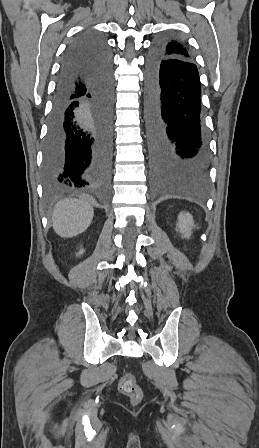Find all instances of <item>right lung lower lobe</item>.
<instances>
[{"mask_svg":"<svg viewBox=\"0 0 259 448\" xmlns=\"http://www.w3.org/2000/svg\"><path fill=\"white\" fill-rule=\"evenodd\" d=\"M113 153V69L103 36L72 41L57 78L44 142L43 176L50 186H105Z\"/></svg>","mask_w":259,"mask_h":448,"instance_id":"1","label":"right lung lower lobe"}]
</instances>
